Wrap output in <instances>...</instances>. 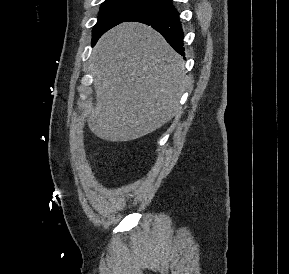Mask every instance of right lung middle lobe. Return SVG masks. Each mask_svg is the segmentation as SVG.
<instances>
[{
  "instance_id": "obj_1",
  "label": "right lung middle lobe",
  "mask_w": 289,
  "mask_h": 274,
  "mask_svg": "<svg viewBox=\"0 0 289 274\" xmlns=\"http://www.w3.org/2000/svg\"><path fill=\"white\" fill-rule=\"evenodd\" d=\"M163 2L162 0H105L93 27L92 45L103 33L136 14Z\"/></svg>"
}]
</instances>
